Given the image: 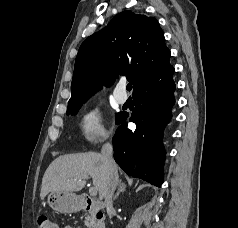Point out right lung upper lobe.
<instances>
[{
    "instance_id": "obj_1",
    "label": "right lung upper lobe",
    "mask_w": 238,
    "mask_h": 228,
    "mask_svg": "<svg viewBox=\"0 0 238 228\" xmlns=\"http://www.w3.org/2000/svg\"><path fill=\"white\" fill-rule=\"evenodd\" d=\"M169 57L157 20L123 11L81 44L69 104H83L102 84L111 86L120 75L132 82L134 94L153 80L174 72Z\"/></svg>"
}]
</instances>
